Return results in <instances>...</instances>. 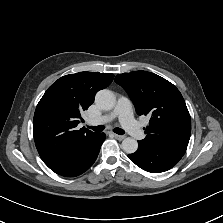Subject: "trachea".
<instances>
[{
  "mask_svg": "<svg viewBox=\"0 0 223 223\" xmlns=\"http://www.w3.org/2000/svg\"><path fill=\"white\" fill-rule=\"evenodd\" d=\"M91 129L96 131V132H101V131L104 130V127L102 125H99V126L91 127ZM114 132L119 134V135H124L125 134V131L120 129V128H115Z\"/></svg>",
  "mask_w": 223,
  "mask_h": 223,
  "instance_id": "trachea-1",
  "label": "trachea"
}]
</instances>
